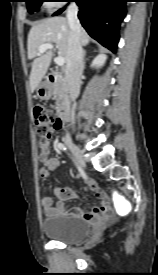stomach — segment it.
Returning a JSON list of instances; mask_svg holds the SVG:
<instances>
[{
	"label": "stomach",
	"instance_id": "obj_1",
	"mask_svg": "<svg viewBox=\"0 0 158 275\" xmlns=\"http://www.w3.org/2000/svg\"><path fill=\"white\" fill-rule=\"evenodd\" d=\"M37 97L41 100H48L52 96V85L47 81L41 82L36 89Z\"/></svg>",
	"mask_w": 158,
	"mask_h": 275
}]
</instances>
